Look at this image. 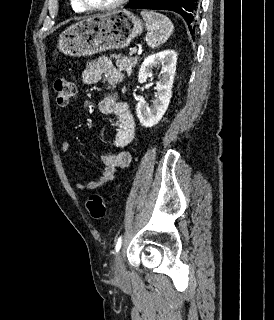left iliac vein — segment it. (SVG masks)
Returning <instances> with one entry per match:
<instances>
[{
	"mask_svg": "<svg viewBox=\"0 0 274 320\" xmlns=\"http://www.w3.org/2000/svg\"><path fill=\"white\" fill-rule=\"evenodd\" d=\"M114 274L117 281H123L126 278V270L123 264L121 251L117 253L114 260Z\"/></svg>",
	"mask_w": 274,
	"mask_h": 320,
	"instance_id": "1",
	"label": "left iliac vein"
}]
</instances>
